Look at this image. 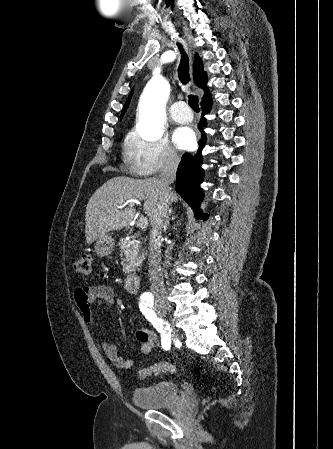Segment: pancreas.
<instances>
[{"label": "pancreas", "mask_w": 333, "mask_h": 449, "mask_svg": "<svg viewBox=\"0 0 333 449\" xmlns=\"http://www.w3.org/2000/svg\"><path fill=\"white\" fill-rule=\"evenodd\" d=\"M119 247L121 252L125 254L123 271L127 274L143 261V257L140 254L139 246L135 240L127 241L122 238L119 242Z\"/></svg>", "instance_id": "cf45deb5"}]
</instances>
